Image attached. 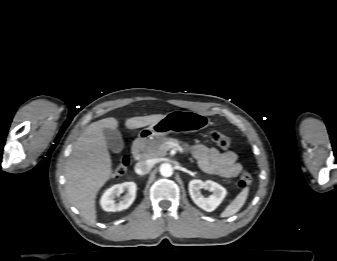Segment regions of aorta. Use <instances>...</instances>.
I'll return each mask as SVG.
<instances>
[{
	"mask_svg": "<svg viewBox=\"0 0 337 261\" xmlns=\"http://www.w3.org/2000/svg\"><path fill=\"white\" fill-rule=\"evenodd\" d=\"M160 174L164 177H170L173 174V168L169 163L160 166Z\"/></svg>",
	"mask_w": 337,
	"mask_h": 261,
	"instance_id": "1",
	"label": "aorta"
}]
</instances>
